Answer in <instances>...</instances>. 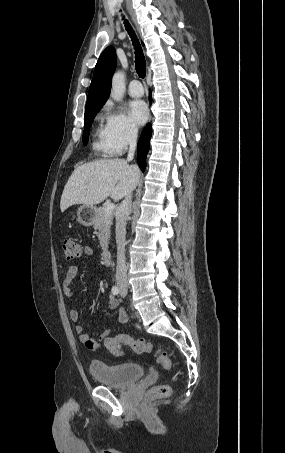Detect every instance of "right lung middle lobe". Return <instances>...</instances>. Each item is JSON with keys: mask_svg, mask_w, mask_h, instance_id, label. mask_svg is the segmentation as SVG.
Returning a JSON list of instances; mask_svg holds the SVG:
<instances>
[{"mask_svg": "<svg viewBox=\"0 0 285 453\" xmlns=\"http://www.w3.org/2000/svg\"><path fill=\"white\" fill-rule=\"evenodd\" d=\"M98 111H93L89 113H85V124H84V132H83V143L86 145L88 141L89 129L93 122L94 117L96 116Z\"/></svg>", "mask_w": 285, "mask_h": 453, "instance_id": "right-lung-middle-lobe-1", "label": "right lung middle lobe"}]
</instances>
